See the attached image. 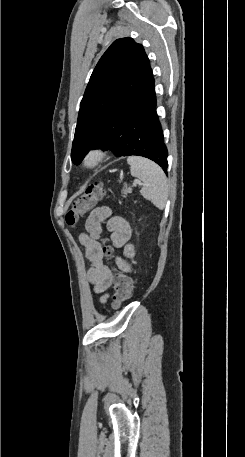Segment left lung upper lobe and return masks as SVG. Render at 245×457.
Listing matches in <instances>:
<instances>
[{"label":"left lung upper lobe","instance_id":"1","mask_svg":"<svg viewBox=\"0 0 245 457\" xmlns=\"http://www.w3.org/2000/svg\"><path fill=\"white\" fill-rule=\"evenodd\" d=\"M153 88L150 61L142 45L131 38L114 41L96 65L80 103L73 163L88 139L122 113L141 108Z\"/></svg>","mask_w":245,"mask_h":457}]
</instances>
